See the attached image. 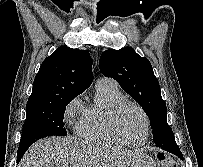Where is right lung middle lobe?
<instances>
[{"label": "right lung middle lobe", "mask_w": 203, "mask_h": 167, "mask_svg": "<svg viewBox=\"0 0 203 167\" xmlns=\"http://www.w3.org/2000/svg\"><path fill=\"white\" fill-rule=\"evenodd\" d=\"M75 98L64 97L50 102L26 105V120L20 145L32 144L47 136H66L64 113L66 106Z\"/></svg>", "instance_id": "right-lung-middle-lobe-1"}]
</instances>
